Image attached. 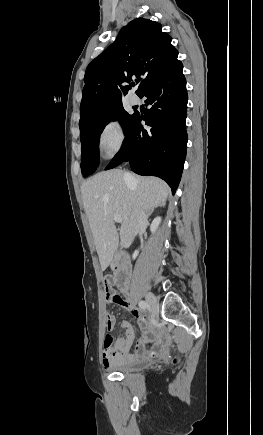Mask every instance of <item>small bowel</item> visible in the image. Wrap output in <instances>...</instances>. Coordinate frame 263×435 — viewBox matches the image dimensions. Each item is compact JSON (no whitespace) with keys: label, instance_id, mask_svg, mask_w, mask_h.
Segmentation results:
<instances>
[{"label":"small bowel","instance_id":"obj_1","mask_svg":"<svg viewBox=\"0 0 263 435\" xmlns=\"http://www.w3.org/2000/svg\"><path fill=\"white\" fill-rule=\"evenodd\" d=\"M117 304L123 306L130 305L129 301L123 298H121L120 302H118ZM133 315L138 320L139 327L142 331V337L134 344V349L131 352V348L134 343L135 333L130 322L124 321L122 323V327L125 329V334L120 335L116 338L114 342V350L103 349L102 361L105 368L117 367L123 364L146 359L148 360L150 358H154L157 355L162 345V339L158 329L149 320V318L141 312L133 310ZM114 324V316L111 314H107V328H113Z\"/></svg>","mask_w":263,"mask_h":435}]
</instances>
